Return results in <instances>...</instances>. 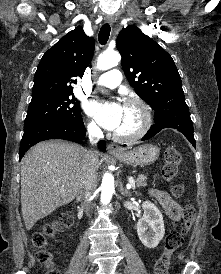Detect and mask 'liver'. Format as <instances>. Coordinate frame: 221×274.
<instances>
[{
	"mask_svg": "<svg viewBox=\"0 0 221 274\" xmlns=\"http://www.w3.org/2000/svg\"><path fill=\"white\" fill-rule=\"evenodd\" d=\"M86 149L51 140L32 147L21 167V207L27 230L78 194ZM100 160L97 159V168Z\"/></svg>",
	"mask_w": 221,
	"mask_h": 274,
	"instance_id": "1",
	"label": "liver"
}]
</instances>
